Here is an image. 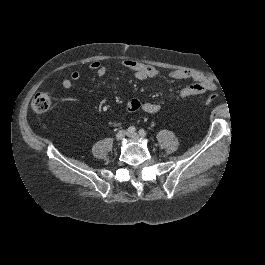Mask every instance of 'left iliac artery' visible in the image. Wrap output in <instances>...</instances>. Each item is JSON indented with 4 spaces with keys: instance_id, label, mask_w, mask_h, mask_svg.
Instances as JSON below:
<instances>
[{
    "instance_id": "1",
    "label": "left iliac artery",
    "mask_w": 265,
    "mask_h": 265,
    "mask_svg": "<svg viewBox=\"0 0 265 265\" xmlns=\"http://www.w3.org/2000/svg\"><path fill=\"white\" fill-rule=\"evenodd\" d=\"M139 134L143 137L146 136V131L144 129L139 130Z\"/></svg>"
}]
</instances>
